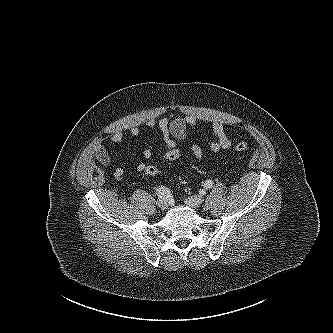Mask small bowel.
<instances>
[{
    "mask_svg": "<svg viewBox=\"0 0 333 333\" xmlns=\"http://www.w3.org/2000/svg\"><path fill=\"white\" fill-rule=\"evenodd\" d=\"M148 127L152 131H158L162 135L164 141L165 151L176 148L178 142H188V127H196L198 125L197 119L194 116H180L175 118L162 117L158 121H149ZM132 136L136 137L139 134L137 127H132L130 130ZM212 132L216 139L209 142V149L218 153L224 149L231 147L233 141L227 134L224 125L220 121L212 123ZM123 132L121 130L112 134L110 140L112 144H119L123 140ZM190 149L198 162H201L204 158V151L200 145L194 142H190ZM142 155L145 159H150L153 156V148L151 146L146 147ZM96 159L104 166H108L111 163V157L107 148L103 145L97 146L95 149ZM146 164L141 162L137 165L139 172H144ZM123 169L117 167L114 170V177L121 178L123 176Z\"/></svg>",
    "mask_w": 333,
    "mask_h": 333,
    "instance_id": "obj_1",
    "label": "small bowel"
}]
</instances>
